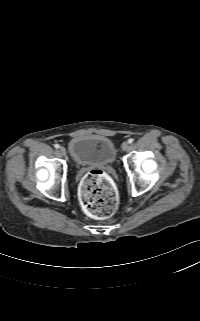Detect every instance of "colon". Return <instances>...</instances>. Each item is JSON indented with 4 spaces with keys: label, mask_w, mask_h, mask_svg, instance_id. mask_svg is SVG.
<instances>
[{
    "label": "colon",
    "mask_w": 200,
    "mask_h": 321,
    "mask_svg": "<svg viewBox=\"0 0 200 321\" xmlns=\"http://www.w3.org/2000/svg\"><path fill=\"white\" fill-rule=\"evenodd\" d=\"M80 199L85 211L97 219H106L118 206V195L108 176L102 170H92L80 185Z\"/></svg>",
    "instance_id": "obj_1"
}]
</instances>
